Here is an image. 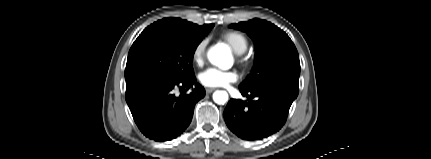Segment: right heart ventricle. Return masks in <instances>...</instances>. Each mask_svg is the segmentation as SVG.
Instances as JSON below:
<instances>
[{
  "mask_svg": "<svg viewBox=\"0 0 431 159\" xmlns=\"http://www.w3.org/2000/svg\"><path fill=\"white\" fill-rule=\"evenodd\" d=\"M221 38L233 49L237 54L244 53L248 48L247 37L238 31H226L221 35Z\"/></svg>",
  "mask_w": 431,
  "mask_h": 159,
  "instance_id": "1",
  "label": "right heart ventricle"
}]
</instances>
